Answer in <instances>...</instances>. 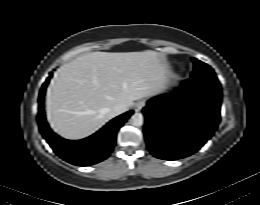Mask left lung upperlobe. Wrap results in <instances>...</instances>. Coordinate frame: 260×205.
I'll list each match as a JSON object with an SVG mask.
<instances>
[{"instance_id":"left-lung-upper-lobe-1","label":"left lung upper lobe","mask_w":260,"mask_h":205,"mask_svg":"<svg viewBox=\"0 0 260 205\" xmlns=\"http://www.w3.org/2000/svg\"><path fill=\"white\" fill-rule=\"evenodd\" d=\"M193 61H194V71L192 72L190 78L209 81L213 83H219L214 73V70L210 66L195 58L193 59Z\"/></svg>"}]
</instances>
